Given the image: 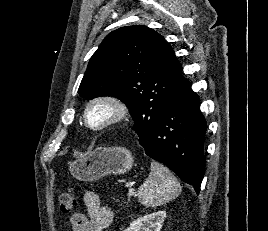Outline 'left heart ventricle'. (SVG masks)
<instances>
[{"label":"left heart ventricle","instance_id":"1","mask_svg":"<svg viewBox=\"0 0 268 231\" xmlns=\"http://www.w3.org/2000/svg\"><path fill=\"white\" fill-rule=\"evenodd\" d=\"M111 108L106 104L94 105L88 114L89 122L93 125L99 124L109 118Z\"/></svg>","mask_w":268,"mask_h":231}]
</instances>
